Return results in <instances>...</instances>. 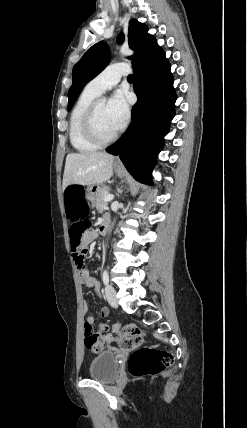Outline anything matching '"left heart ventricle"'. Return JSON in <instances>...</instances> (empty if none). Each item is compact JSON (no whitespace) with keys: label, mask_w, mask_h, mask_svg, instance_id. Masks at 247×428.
Here are the masks:
<instances>
[{"label":"left heart ventricle","mask_w":247,"mask_h":428,"mask_svg":"<svg viewBox=\"0 0 247 428\" xmlns=\"http://www.w3.org/2000/svg\"><path fill=\"white\" fill-rule=\"evenodd\" d=\"M106 106L107 103L101 101L95 115L96 130L103 138L110 137L117 130L108 116Z\"/></svg>","instance_id":"1"}]
</instances>
